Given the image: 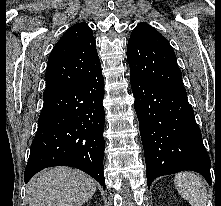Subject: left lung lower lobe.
I'll return each instance as SVG.
<instances>
[{
    "mask_svg": "<svg viewBox=\"0 0 221 206\" xmlns=\"http://www.w3.org/2000/svg\"><path fill=\"white\" fill-rule=\"evenodd\" d=\"M148 188L163 175L196 171L211 185L210 159L187 93L130 75Z\"/></svg>",
    "mask_w": 221,
    "mask_h": 206,
    "instance_id": "1",
    "label": "left lung lower lobe"
}]
</instances>
